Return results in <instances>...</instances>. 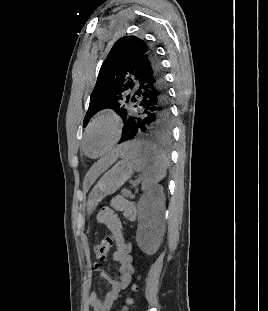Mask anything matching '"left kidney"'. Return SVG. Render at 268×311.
I'll return each mask as SVG.
<instances>
[{"mask_svg": "<svg viewBox=\"0 0 268 311\" xmlns=\"http://www.w3.org/2000/svg\"><path fill=\"white\" fill-rule=\"evenodd\" d=\"M165 199L163 188L156 186L141 199L138 207V228L136 241L146 254L153 255L158 250L164 235Z\"/></svg>", "mask_w": 268, "mask_h": 311, "instance_id": "5707ae66", "label": "left kidney"}]
</instances>
